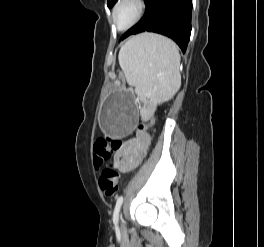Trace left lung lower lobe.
I'll return each instance as SVG.
<instances>
[{"label": "left lung lower lobe", "instance_id": "1", "mask_svg": "<svg viewBox=\"0 0 264 247\" xmlns=\"http://www.w3.org/2000/svg\"><path fill=\"white\" fill-rule=\"evenodd\" d=\"M146 12L120 40L132 34L155 32L174 40L185 53L191 33V0H145Z\"/></svg>", "mask_w": 264, "mask_h": 247}]
</instances>
